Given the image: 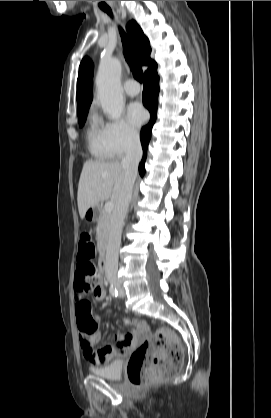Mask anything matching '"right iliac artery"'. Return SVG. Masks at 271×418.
Listing matches in <instances>:
<instances>
[{"instance_id":"82829eb1","label":"right iliac artery","mask_w":271,"mask_h":418,"mask_svg":"<svg viewBox=\"0 0 271 418\" xmlns=\"http://www.w3.org/2000/svg\"><path fill=\"white\" fill-rule=\"evenodd\" d=\"M109 291H110V294L113 297H117L118 296V291H117V288L115 286L111 285L110 288H109Z\"/></svg>"}]
</instances>
